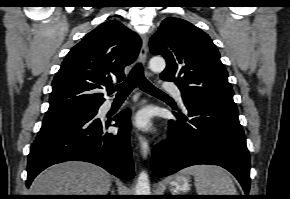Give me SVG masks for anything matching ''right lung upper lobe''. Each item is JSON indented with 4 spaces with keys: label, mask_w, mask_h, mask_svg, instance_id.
Returning a JSON list of instances; mask_svg holds the SVG:
<instances>
[{
    "label": "right lung upper lobe",
    "mask_w": 290,
    "mask_h": 199,
    "mask_svg": "<svg viewBox=\"0 0 290 199\" xmlns=\"http://www.w3.org/2000/svg\"><path fill=\"white\" fill-rule=\"evenodd\" d=\"M141 46L139 36L117 20L100 24L65 57L52 83L45 116L64 114L104 102L101 89L114 92L112 78L124 79Z\"/></svg>",
    "instance_id": "cb5924a9"
}]
</instances>
